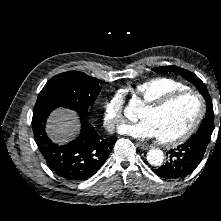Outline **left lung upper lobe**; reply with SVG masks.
<instances>
[{"mask_svg":"<svg viewBox=\"0 0 221 221\" xmlns=\"http://www.w3.org/2000/svg\"><path fill=\"white\" fill-rule=\"evenodd\" d=\"M153 70L159 72H171V71L177 72L183 78L193 83L197 87V89L200 91V93L203 95V97L207 102L206 117L204 118L202 124L200 125L197 134H204V135L207 134L209 135V140H210L213 131L214 113H213L212 101L205 84L192 72L183 68H179L177 66L157 67L154 68Z\"/></svg>","mask_w":221,"mask_h":221,"instance_id":"1","label":"left lung upper lobe"}]
</instances>
